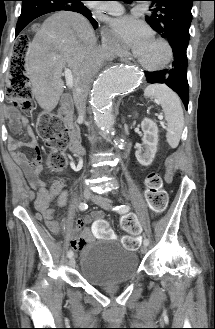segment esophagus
Here are the masks:
<instances>
[{
	"label": "esophagus",
	"mask_w": 215,
	"mask_h": 329,
	"mask_svg": "<svg viewBox=\"0 0 215 329\" xmlns=\"http://www.w3.org/2000/svg\"><path fill=\"white\" fill-rule=\"evenodd\" d=\"M123 61L126 62V63L129 62V60H127L126 58H124Z\"/></svg>",
	"instance_id": "esophagus-1"
}]
</instances>
